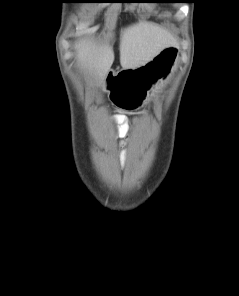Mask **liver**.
I'll return each mask as SVG.
<instances>
[{"instance_id": "6515ba94", "label": "liver", "mask_w": 239, "mask_h": 296, "mask_svg": "<svg viewBox=\"0 0 239 296\" xmlns=\"http://www.w3.org/2000/svg\"><path fill=\"white\" fill-rule=\"evenodd\" d=\"M168 45H175V40L165 29L145 22L130 26L121 33V66L124 69L138 68ZM76 49L80 67L93 72L102 82L114 61L112 47L84 40L76 45Z\"/></svg>"}]
</instances>
